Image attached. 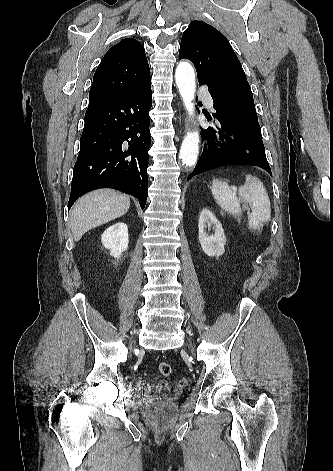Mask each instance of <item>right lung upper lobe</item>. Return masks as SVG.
Returning a JSON list of instances; mask_svg holds the SVG:
<instances>
[{
	"instance_id": "cb5924a9",
	"label": "right lung upper lobe",
	"mask_w": 333,
	"mask_h": 471,
	"mask_svg": "<svg viewBox=\"0 0 333 471\" xmlns=\"http://www.w3.org/2000/svg\"><path fill=\"white\" fill-rule=\"evenodd\" d=\"M150 77L143 46L126 38L111 47L99 64L89 93V106L122 95Z\"/></svg>"
}]
</instances>
